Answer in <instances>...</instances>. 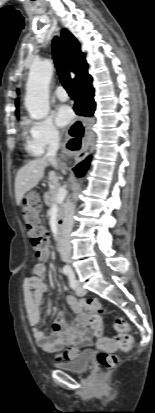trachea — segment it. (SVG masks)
<instances>
[{"mask_svg": "<svg viewBox=\"0 0 155 413\" xmlns=\"http://www.w3.org/2000/svg\"><path fill=\"white\" fill-rule=\"evenodd\" d=\"M52 52L54 63L62 85L69 94H74L70 72L67 68L66 56L58 37L53 39Z\"/></svg>", "mask_w": 155, "mask_h": 413, "instance_id": "obj_1", "label": "trachea"}]
</instances>
